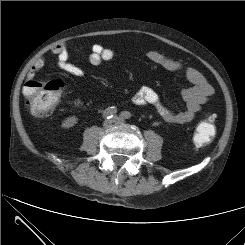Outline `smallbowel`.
Wrapping results in <instances>:
<instances>
[{"label": "small bowel", "mask_w": 245, "mask_h": 245, "mask_svg": "<svg viewBox=\"0 0 245 245\" xmlns=\"http://www.w3.org/2000/svg\"><path fill=\"white\" fill-rule=\"evenodd\" d=\"M50 53L57 57V65L60 69L74 77H84L85 71L70 61L69 51L65 44L53 47ZM114 56L115 53L112 49L96 44L92 47L89 62L93 66H98L103 61L112 60ZM147 58L152 63L160 65L171 72L182 73L184 75L187 82V86L182 90L185 108L180 111L171 110L162 103L158 94L149 88L138 91L132 97V103L137 106H152L168 123L184 124L192 121L201 111L202 106L213 95V87L211 84L196 69L187 67L180 61L170 58L158 51L148 52ZM44 65L45 59L43 57L39 58L29 72V79H33Z\"/></svg>", "instance_id": "c3829d8e"}]
</instances>
